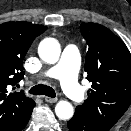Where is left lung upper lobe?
<instances>
[{"instance_id": "left-lung-upper-lobe-1", "label": "left lung upper lobe", "mask_w": 131, "mask_h": 131, "mask_svg": "<svg viewBox=\"0 0 131 131\" xmlns=\"http://www.w3.org/2000/svg\"><path fill=\"white\" fill-rule=\"evenodd\" d=\"M80 28L88 44L85 71L92 89L75 111L108 131L131 103V54L124 42L104 26L82 23Z\"/></svg>"}]
</instances>
